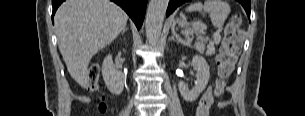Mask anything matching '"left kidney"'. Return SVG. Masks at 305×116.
Instances as JSON below:
<instances>
[{
	"label": "left kidney",
	"instance_id": "obj_1",
	"mask_svg": "<svg viewBox=\"0 0 305 116\" xmlns=\"http://www.w3.org/2000/svg\"><path fill=\"white\" fill-rule=\"evenodd\" d=\"M192 66L197 72V79L195 81L194 87L189 89L183 81L178 83L180 94L187 102H193L199 97L200 93H202L206 88L210 77L209 65L205 58L201 55H195L192 58Z\"/></svg>",
	"mask_w": 305,
	"mask_h": 116
}]
</instances>
